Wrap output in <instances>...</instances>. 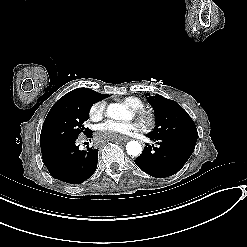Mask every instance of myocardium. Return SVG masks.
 <instances>
[{"mask_svg": "<svg viewBox=\"0 0 247 247\" xmlns=\"http://www.w3.org/2000/svg\"><path fill=\"white\" fill-rule=\"evenodd\" d=\"M139 121L145 132L153 130L156 123V115L152 110L141 108L139 110Z\"/></svg>", "mask_w": 247, "mask_h": 247, "instance_id": "obj_1", "label": "myocardium"}]
</instances>
